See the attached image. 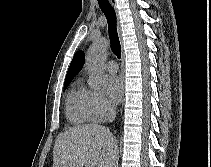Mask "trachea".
Returning a JSON list of instances; mask_svg holds the SVG:
<instances>
[{
	"label": "trachea",
	"instance_id": "3493384b",
	"mask_svg": "<svg viewBox=\"0 0 211 167\" xmlns=\"http://www.w3.org/2000/svg\"><path fill=\"white\" fill-rule=\"evenodd\" d=\"M98 4L106 16L108 22V33L112 52L120 59L121 45L116 28V13L109 0H98Z\"/></svg>",
	"mask_w": 211,
	"mask_h": 167
}]
</instances>
